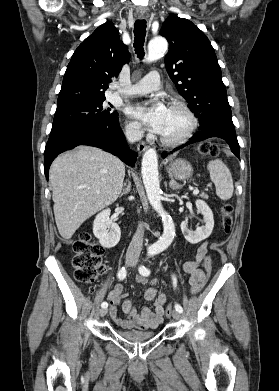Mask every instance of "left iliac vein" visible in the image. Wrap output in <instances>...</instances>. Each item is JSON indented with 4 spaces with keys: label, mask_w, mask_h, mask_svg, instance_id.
Wrapping results in <instances>:
<instances>
[{
    "label": "left iliac vein",
    "mask_w": 279,
    "mask_h": 391,
    "mask_svg": "<svg viewBox=\"0 0 279 391\" xmlns=\"http://www.w3.org/2000/svg\"><path fill=\"white\" fill-rule=\"evenodd\" d=\"M134 265H135V264H133L132 266H134ZM172 317H173L174 319H176V320H179V319L181 318V314H180V312L174 310V311L172 312Z\"/></svg>",
    "instance_id": "left-iliac-vein-1"
}]
</instances>
